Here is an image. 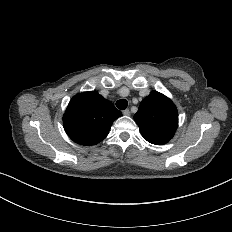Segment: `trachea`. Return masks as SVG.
<instances>
[{
    "label": "trachea",
    "mask_w": 232,
    "mask_h": 232,
    "mask_svg": "<svg viewBox=\"0 0 232 232\" xmlns=\"http://www.w3.org/2000/svg\"><path fill=\"white\" fill-rule=\"evenodd\" d=\"M116 106L120 110H125L128 106V101L126 99H120L116 102Z\"/></svg>",
    "instance_id": "obj_1"
}]
</instances>
